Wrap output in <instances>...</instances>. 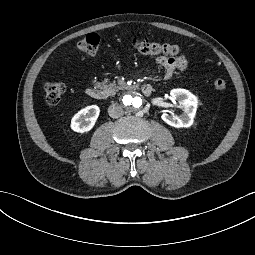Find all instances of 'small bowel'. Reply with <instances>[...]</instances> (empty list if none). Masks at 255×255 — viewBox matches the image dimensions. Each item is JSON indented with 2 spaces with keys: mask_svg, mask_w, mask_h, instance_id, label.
<instances>
[{
  "mask_svg": "<svg viewBox=\"0 0 255 255\" xmlns=\"http://www.w3.org/2000/svg\"><path fill=\"white\" fill-rule=\"evenodd\" d=\"M156 63L164 69L165 78L170 79L177 71H185L188 60L184 56H158Z\"/></svg>",
  "mask_w": 255,
  "mask_h": 255,
  "instance_id": "obj_1",
  "label": "small bowel"
}]
</instances>
